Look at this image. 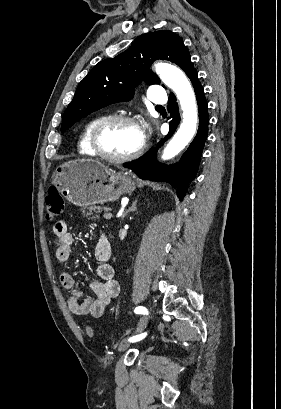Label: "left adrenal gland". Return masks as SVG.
<instances>
[{
  "instance_id": "left-adrenal-gland-1",
  "label": "left adrenal gland",
  "mask_w": 281,
  "mask_h": 409,
  "mask_svg": "<svg viewBox=\"0 0 281 409\" xmlns=\"http://www.w3.org/2000/svg\"><path fill=\"white\" fill-rule=\"evenodd\" d=\"M137 202H138V200H133L132 207H129L128 211H125V213H123L121 219H124V217H126L127 213H132V211H137Z\"/></svg>"
}]
</instances>
